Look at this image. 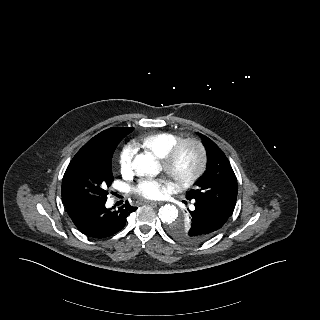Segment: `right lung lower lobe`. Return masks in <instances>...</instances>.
<instances>
[{
	"label": "right lung lower lobe",
	"instance_id": "1",
	"mask_svg": "<svg viewBox=\"0 0 320 320\" xmlns=\"http://www.w3.org/2000/svg\"><path fill=\"white\" fill-rule=\"evenodd\" d=\"M105 201L66 203L65 208L75 226L87 237L101 239L121 231L126 225L127 217L137 207L126 202L118 210L107 209Z\"/></svg>",
	"mask_w": 320,
	"mask_h": 320
}]
</instances>
